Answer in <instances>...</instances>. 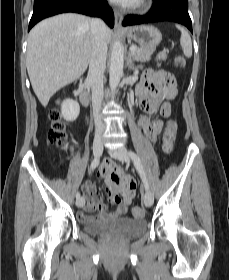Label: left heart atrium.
I'll return each mask as SVG.
<instances>
[{
    "mask_svg": "<svg viewBox=\"0 0 229 280\" xmlns=\"http://www.w3.org/2000/svg\"><path fill=\"white\" fill-rule=\"evenodd\" d=\"M114 2H117L123 6H133L136 5L140 0H112Z\"/></svg>",
    "mask_w": 229,
    "mask_h": 280,
    "instance_id": "39dd6f15",
    "label": "left heart atrium"
}]
</instances>
